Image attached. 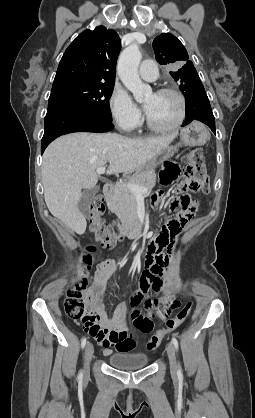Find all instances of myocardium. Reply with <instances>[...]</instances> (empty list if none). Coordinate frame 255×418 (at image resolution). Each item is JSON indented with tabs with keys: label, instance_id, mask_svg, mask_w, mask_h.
I'll use <instances>...</instances> for the list:
<instances>
[{
	"label": "myocardium",
	"instance_id": "f54148a6",
	"mask_svg": "<svg viewBox=\"0 0 255 418\" xmlns=\"http://www.w3.org/2000/svg\"><path fill=\"white\" fill-rule=\"evenodd\" d=\"M156 93L157 94H165V93H168V94H173L174 96H176L177 99L180 102V114H179V117H178V119L176 120L175 123H173L172 125H169V126L162 127V126L155 125L150 120V118L148 117V115L146 113L145 114V122H146L147 127L150 130H152L154 132H158V133H167V132H171V131L176 130L177 128H179L183 124V122L186 119V115H187V102H186L185 96L179 90H177L175 88H172V87H163V88H160V89H158L156 91Z\"/></svg>",
	"mask_w": 255,
	"mask_h": 418
}]
</instances>
